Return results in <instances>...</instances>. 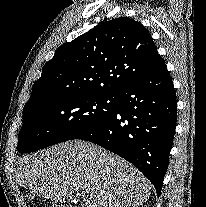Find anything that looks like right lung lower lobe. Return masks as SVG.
Masks as SVG:
<instances>
[{"instance_id":"98d812e1","label":"right lung lower lobe","mask_w":206,"mask_h":207,"mask_svg":"<svg viewBox=\"0 0 206 207\" xmlns=\"http://www.w3.org/2000/svg\"><path fill=\"white\" fill-rule=\"evenodd\" d=\"M116 96L115 112L76 139L98 144L132 163L159 196L177 118L176 94L163 59Z\"/></svg>"}]
</instances>
